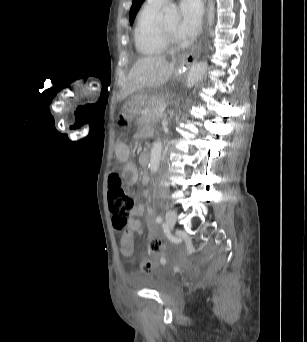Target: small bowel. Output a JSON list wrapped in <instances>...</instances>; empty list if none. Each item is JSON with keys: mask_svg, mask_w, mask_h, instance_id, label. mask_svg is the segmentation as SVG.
Instances as JSON below:
<instances>
[{"mask_svg": "<svg viewBox=\"0 0 307 342\" xmlns=\"http://www.w3.org/2000/svg\"><path fill=\"white\" fill-rule=\"evenodd\" d=\"M143 155L144 154H141L140 158ZM120 156L126 162L125 168L123 170L124 180L129 186H133L137 182L138 170L136 166L130 161V150L127 147H123L121 149ZM147 180H148V174L145 173L143 176V183L145 184ZM143 195L145 197L147 196L146 190L143 191ZM145 211H146V206L143 203L136 205L135 208L133 209L132 216L128 225L135 226L134 232H143V228H142L141 222L138 220V217L142 216L145 213ZM120 240H128V239H120Z\"/></svg>", "mask_w": 307, "mask_h": 342, "instance_id": "obj_1", "label": "small bowel"}]
</instances>
